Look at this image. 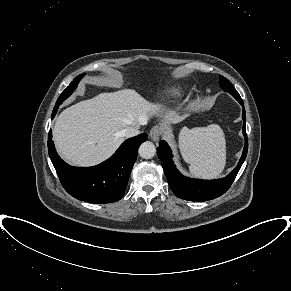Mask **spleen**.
<instances>
[{
  "label": "spleen",
  "instance_id": "obj_1",
  "mask_svg": "<svg viewBox=\"0 0 291 291\" xmlns=\"http://www.w3.org/2000/svg\"><path fill=\"white\" fill-rule=\"evenodd\" d=\"M179 148L190 172L197 177L214 178L226 165V141L219 125L206 128H183Z\"/></svg>",
  "mask_w": 291,
  "mask_h": 291
}]
</instances>
